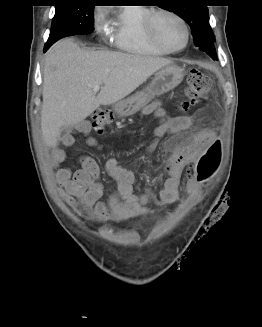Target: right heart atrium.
Here are the masks:
<instances>
[{
	"label": "right heart atrium",
	"mask_w": 262,
	"mask_h": 327,
	"mask_svg": "<svg viewBox=\"0 0 262 327\" xmlns=\"http://www.w3.org/2000/svg\"><path fill=\"white\" fill-rule=\"evenodd\" d=\"M94 26L97 30L102 31L104 29L103 16L96 13L94 16Z\"/></svg>",
	"instance_id": "1"
}]
</instances>
